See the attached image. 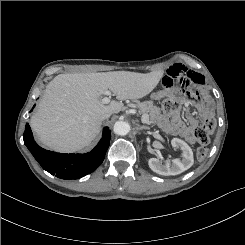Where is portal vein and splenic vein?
I'll use <instances>...</instances> for the list:
<instances>
[{
	"mask_svg": "<svg viewBox=\"0 0 245 245\" xmlns=\"http://www.w3.org/2000/svg\"><path fill=\"white\" fill-rule=\"evenodd\" d=\"M104 94L106 95L103 99H102V103L103 104H108L109 102H110V98L109 97H107V96H110L111 95V92L109 91V90H106L105 92H104ZM133 111H135L134 109H133ZM141 121H142V123H149V117H148V115L147 114H144L143 116H142V118H141Z\"/></svg>",
	"mask_w": 245,
	"mask_h": 245,
	"instance_id": "1",
	"label": "portal vein and splenic vein"
}]
</instances>
